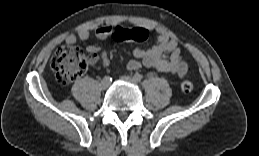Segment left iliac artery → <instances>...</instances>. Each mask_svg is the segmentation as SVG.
I'll list each match as a JSON object with an SVG mask.
<instances>
[{"mask_svg":"<svg viewBox=\"0 0 259 156\" xmlns=\"http://www.w3.org/2000/svg\"><path fill=\"white\" fill-rule=\"evenodd\" d=\"M137 82H140L143 79V76L139 73H136L133 77Z\"/></svg>","mask_w":259,"mask_h":156,"instance_id":"obj_1","label":"left iliac artery"}]
</instances>
